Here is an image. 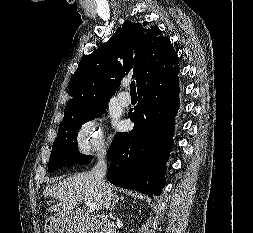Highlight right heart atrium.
I'll list each match as a JSON object with an SVG mask.
<instances>
[{"mask_svg": "<svg viewBox=\"0 0 253 233\" xmlns=\"http://www.w3.org/2000/svg\"><path fill=\"white\" fill-rule=\"evenodd\" d=\"M76 145L83 155L104 152L107 144L102 123L97 119L84 121L78 129Z\"/></svg>", "mask_w": 253, "mask_h": 233, "instance_id": "obj_1", "label": "right heart atrium"}]
</instances>
